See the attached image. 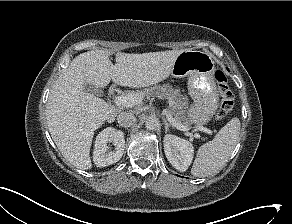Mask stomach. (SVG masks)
<instances>
[{
	"label": "stomach",
	"instance_id": "stomach-1",
	"mask_svg": "<svg viewBox=\"0 0 292 224\" xmlns=\"http://www.w3.org/2000/svg\"><path fill=\"white\" fill-rule=\"evenodd\" d=\"M215 62L211 54L185 50L175 59L171 75L188 78V91L194 103L188 110L191 124L207 123L218 106V90L215 82Z\"/></svg>",
	"mask_w": 292,
	"mask_h": 224
}]
</instances>
